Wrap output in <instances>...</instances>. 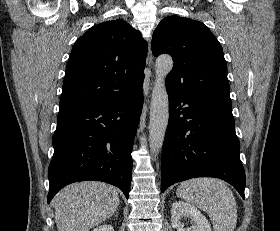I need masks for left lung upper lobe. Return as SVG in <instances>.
Wrapping results in <instances>:
<instances>
[{
	"label": "left lung upper lobe",
	"instance_id": "left-lung-upper-lobe-1",
	"mask_svg": "<svg viewBox=\"0 0 280 231\" xmlns=\"http://www.w3.org/2000/svg\"><path fill=\"white\" fill-rule=\"evenodd\" d=\"M152 52L154 56L167 53L173 58V69L166 78L168 89L231 105L222 48L203 23L165 17L153 33Z\"/></svg>",
	"mask_w": 280,
	"mask_h": 231
}]
</instances>
